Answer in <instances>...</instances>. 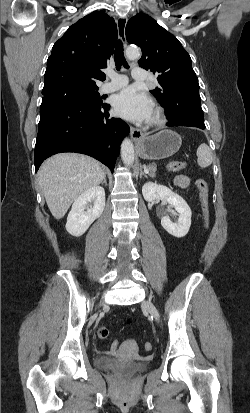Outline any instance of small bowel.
<instances>
[{"mask_svg":"<svg viewBox=\"0 0 250 413\" xmlns=\"http://www.w3.org/2000/svg\"><path fill=\"white\" fill-rule=\"evenodd\" d=\"M175 184L180 188H187L190 185V179L184 175H178L175 178Z\"/></svg>","mask_w":250,"mask_h":413,"instance_id":"1","label":"small bowel"}]
</instances>
